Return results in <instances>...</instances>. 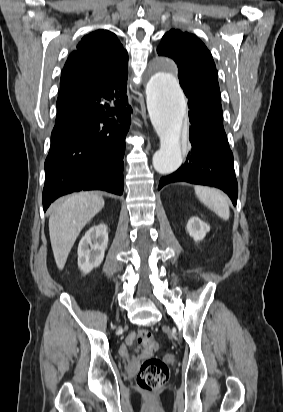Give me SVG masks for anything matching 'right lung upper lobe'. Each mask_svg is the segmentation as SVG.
Here are the masks:
<instances>
[{"label": "right lung upper lobe", "instance_id": "cb5924a9", "mask_svg": "<svg viewBox=\"0 0 283 412\" xmlns=\"http://www.w3.org/2000/svg\"><path fill=\"white\" fill-rule=\"evenodd\" d=\"M128 54L116 35L107 30H97L84 36L64 66L68 77L60 80L57 110L93 94L102 86H122L127 83Z\"/></svg>", "mask_w": 283, "mask_h": 412}]
</instances>
